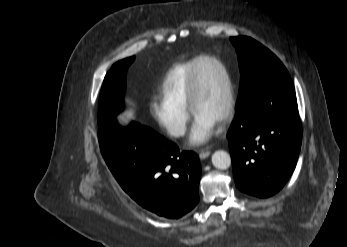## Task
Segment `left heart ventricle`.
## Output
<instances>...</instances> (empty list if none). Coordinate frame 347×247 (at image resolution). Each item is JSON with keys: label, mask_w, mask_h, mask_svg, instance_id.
Listing matches in <instances>:
<instances>
[{"label": "left heart ventricle", "mask_w": 347, "mask_h": 247, "mask_svg": "<svg viewBox=\"0 0 347 247\" xmlns=\"http://www.w3.org/2000/svg\"><path fill=\"white\" fill-rule=\"evenodd\" d=\"M226 99V80L222 70L213 62H203L199 69L196 115L218 122L224 111Z\"/></svg>", "instance_id": "b2bd125f"}]
</instances>
